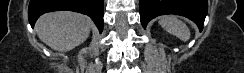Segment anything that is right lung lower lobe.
Returning a JSON list of instances; mask_svg holds the SVG:
<instances>
[{
  "label": "right lung lower lobe",
  "instance_id": "right-lung-lower-lobe-1",
  "mask_svg": "<svg viewBox=\"0 0 244 73\" xmlns=\"http://www.w3.org/2000/svg\"><path fill=\"white\" fill-rule=\"evenodd\" d=\"M71 10L91 17L100 33L103 30V0H31L28 18L32 27L40 15L56 11Z\"/></svg>",
  "mask_w": 244,
  "mask_h": 73
}]
</instances>
